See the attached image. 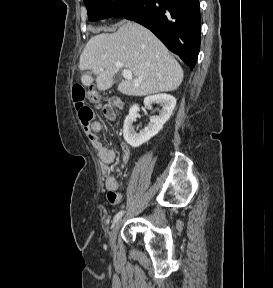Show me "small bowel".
Masks as SVG:
<instances>
[{"mask_svg":"<svg viewBox=\"0 0 273 288\" xmlns=\"http://www.w3.org/2000/svg\"><path fill=\"white\" fill-rule=\"evenodd\" d=\"M121 104L118 101L109 102L103 109V114L108 120H114L116 117V109L120 108ZM102 126L98 121H94L90 126L86 128L88 137L97 151L99 160L101 162V170L104 176V184L107 190V199L113 204L117 205L121 203L122 196L119 192V181L117 176L113 173L112 165L116 158V153L114 150L105 147L99 137L97 132L101 130ZM130 150L126 144L122 145L121 148V158L124 162L129 159Z\"/></svg>","mask_w":273,"mask_h":288,"instance_id":"obj_1","label":"small bowel"}]
</instances>
